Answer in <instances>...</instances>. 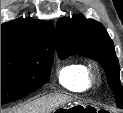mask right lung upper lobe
<instances>
[{
    "label": "right lung upper lobe",
    "instance_id": "obj_1",
    "mask_svg": "<svg viewBox=\"0 0 123 113\" xmlns=\"http://www.w3.org/2000/svg\"><path fill=\"white\" fill-rule=\"evenodd\" d=\"M46 44L55 50V31L52 23L30 18H18L1 25V45Z\"/></svg>",
    "mask_w": 123,
    "mask_h": 113
}]
</instances>
